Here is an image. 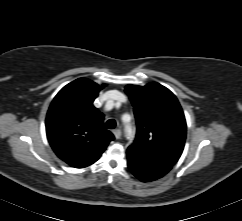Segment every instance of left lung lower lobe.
<instances>
[{"instance_id": "obj_1", "label": "left lung lower lobe", "mask_w": 242, "mask_h": 221, "mask_svg": "<svg viewBox=\"0 0 242 221\" xmlns=\"http://www.w3.org/2000/svg\"><path fill=\"white\" fill-rule=\"evenodd\" d=\"M128 167L132 174L143 182H150L164 176L173 165L127 150Z\"/></svg>"}]
</instances>
